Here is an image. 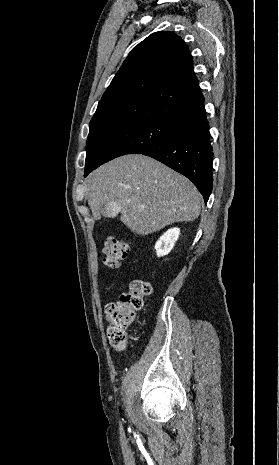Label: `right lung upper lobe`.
I'll use <instances>...</instances> for the list:
<instances>
[{"label": "right lung upper lobe", "instance_id": "obj_1", "mask_svg": "<svg viewBox=\"0 0 279 465\" xmlns=\"http://www.w3.org/2000/svg\"><path fill=\"white\" fill-rule=\"evenodd\" d=\"M204 105L185 42L151 34L129 53L98 104L90 129L131 119L177 122Z\"/></svg>", "mask_w": 279, "mask_h": 465}]
</instances>
